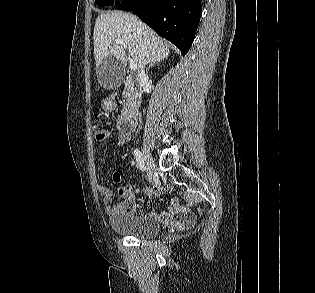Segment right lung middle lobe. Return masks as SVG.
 Masks as SVG:
<instances>
[{"instance_id":"obj_1","label":"right lung middle lobe","mask_w":315,"mask_h":293,"mask_svg":"<svg viewBox=\"0 0 315 293\" xmlns=\"http://www.w3.org/2000/svg\"><path fill=\"white\" fill-rule=\"evenodd\" d=\"M95 3L99 6H106V5H109V4H113L114 3V0H95ZM120 3V0H116V4H119Z\"/></svg>"}]
</instances>
